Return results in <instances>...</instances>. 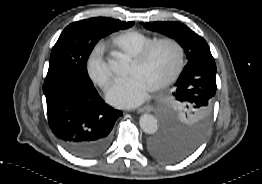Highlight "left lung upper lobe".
Listing matches in <instances>:
<instances>
[{"label":"left lung upper lobe","mask_w":262,"mask_h":184,"mask_svg":"<svg viewBox=\"0 0 262 184\" xmlns=\"http://www.w3.org/2000/svg\"><path fill=\"white\" fill-rule=\"evenodd\" d=\"M145 28L174 38L184 48L187 64L160 107L163 130L172 138L195 146L204 139L216 93V65L206 41L179 22L144 23Z\"/></svg>","instance_id":"obj_1"}]
</instances>
